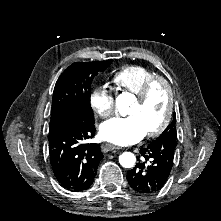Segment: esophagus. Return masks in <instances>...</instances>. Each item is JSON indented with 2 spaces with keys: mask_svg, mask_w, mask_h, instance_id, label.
Here are the masks:
<instances>
[{
  "mask_svg": "<svg viewBox=\"0 0 221 221\" xmlns=\"http://www.w3.org/2000/svg\"><path fill=\"white\" fill-rule=\"evenodd\" d=\"M101 149H102L104 152H107V151H111V150H114V149L119 150L120 147L115 146V145H113V144H111V143H105V144H102V145H101Z\"/></svg>",
  "mask_w": 221,
  "mask_h": 221,
  "instance_id": "esophagus-1",
  "label": "esophagus"
}]
</instances>
